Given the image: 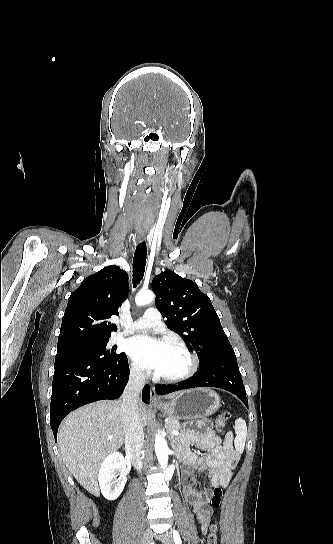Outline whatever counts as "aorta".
Returning a JSON list of instances; mask_svg holds the SVG:
<instances>
[{"label":"aorta","instance_id":"aorta-1","mask_svg":"<svg viewBox=\"0 0 333 544\" xmlns=\"http://www.w3.org/2000/svg\"><path fill=\"white\" fill-rule=\"evenodd\" d=\"M154 299V293L152 291H140L135 297V303L137 306H143ZM155 453L162 469H165L168 465L169 448L166 440L161 435H156L155 438Z\"/></svg>","mask_w":333,"mask_h":544}]
</instances>
